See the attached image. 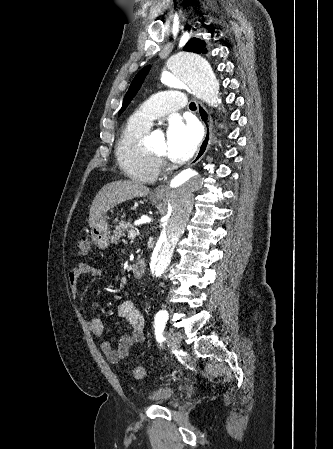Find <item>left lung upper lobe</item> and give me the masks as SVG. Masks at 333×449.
I'll use <instances>...</instances> for the list:
<instances>
[{
  "instance_id": "5c2ea615",
  "label": "left lung upper lobe",
  "mask_w": 333,
  "mask_h": 449,
  "mask_svg": "<svg viewBox=\"0 0 333 449\" xmlns=\"http://www.w3.org/2000/svg\"><path fill=\"white\" fill-rule=\"evenodd\" d=\"M205 47V43L203 41H201L200 39H196V38H192L183 48V50L185 51H189V52H196V53H200V52H206V50H203V48ZM149 68L145 67L142 70H140L138 72V74L135 76L134 80L132 81L128 92L126 93L124 100H123V105L122 108L119 112L122 113L127 105L129 104V102L131 101V99L134 97V95L137 93V91L139 90V88L142 85V82L146 76V74L148 73Z\"/></svg>"
}]
</instances>
